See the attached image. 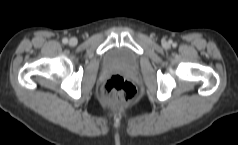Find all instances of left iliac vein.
Returning a JSON list of instances; mask_svg holds the SVG:
<instances>
[{"label": "left iliac vein", "instance_id": "obj_1", "mask_svg": "<svg viewBox=\"0 0 238 145\" xmlns=\"http://www.w3.org/2000/svg\"><path fill=\"white\" fill-rule=\"evenodd\" d=\"M164 46H165V47H168L169 45H168V43H167V42H165V43H164Z\"/></svg>", "mask_w": 238, "mask_h": 145}]
</instances>
